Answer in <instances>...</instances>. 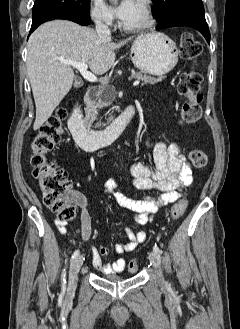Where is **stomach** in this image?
Returning a JSON list of instances; mask_svg holds the SVG:
<instances>
[{
	"label": "stomach",
	"instance_id": "stomach-1",
	"mask_svg": "<svg viewBox=\"0 0 240 329\" xmlns=\"http://www.w3.org/2000/svg\"><path fill=\"white\" fill-rule=\"evenodd\" d=\"M178 49L174 41L163 33L138 36L131 46V60L141 72L162 76L178 62Z\"/></svg>",
	"mask_w": 240,
	"mask_h": 329
}]
</instances>
